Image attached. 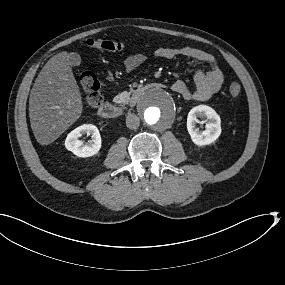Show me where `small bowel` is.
I'll list each match as a JSON object with an SVG mask.
<instances>
[{"instance_id":"obj_1","label":"small bowel","mask_w":285,"mask_h":285,"mask_svg":"<svg viewBox=\"0 0 285 285\" xmlns=\"http://www.w3.org/2000/svg\"><path fill=\"white\" fill-rule=\"evenodd\" d=\"M154 56L161 59L185 58L206 68L196 67L194 72V86L191 88L183 81L172 84V90L186 100L204 101L216 94L224 83V76L214 57L198 48L160 47L155 50ZM147 60L145 53H133L124 60V69L131 72L140 67Z\"/></svg>"}]
</instances>
